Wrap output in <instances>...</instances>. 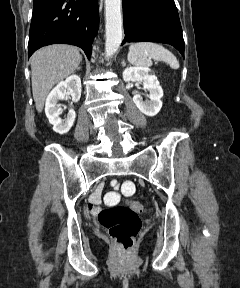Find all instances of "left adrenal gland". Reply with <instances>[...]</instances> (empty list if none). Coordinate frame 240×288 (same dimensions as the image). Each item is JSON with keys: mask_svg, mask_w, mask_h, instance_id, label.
Listing matches in <instances>:
<instances>
[{"mask_svg": "<svg viewBox=\"0 0 240 288\" xmlns=\"http://www.w3.org/2000/svg\"><path fill=\"white\" fill-rule=\"evenodd\" d=\"M122 65H123V66L125 65V61H124V60L122 61Z\"/></svg>", "mask_w": 240, "mask_h": 288, "instance_id": "left-adrenal-gland-1", "label": "left adrenal gland"}]
</instances>
